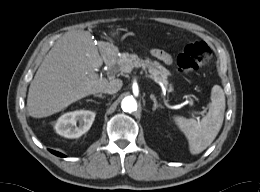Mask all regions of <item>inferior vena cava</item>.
<instances>
[{
    "mask_svg": "<svg viewBox=\"0 0 260 192\" xmlns=\"http://www.w3.org/2000/svg\"><path fill=\"white\" fill-rule=\"evenodd\" d=\"M122 87V81L120 79H113L110 82H108V85L102 89V92L108 93V94H114L118 92Z\"/></svg>",
    "mask_w": 260,
    "mask_h": 192,
    "instance_id": "obj_1",
    "label": "inferior vena cava"
}]
</instances>
